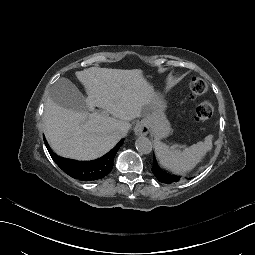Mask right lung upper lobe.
Returning <instances> with one entry per match:
<instances>
[{
  "label": "right lung upper lobe",
  "mask_w": 255,
  "mask_h": 255,
  "mask_svg": "<svg viewBox=\"0 0 255 255\" xmlns=\"http://www.w3.org/2000/svg\"><path fill=\"white\" fill-rule=\"evenodd\" d=\"M123 140H121L110 152L103 157L89 162H79L71 159L62 158L56 155L46 143L49 154L53 161L66 174L81 181H93L105 177L112 171L114 157L121 147ZM86 165H91L94 168V173L90 178H87L83 173V168Z\"/></svg>",
  "instance_id": "cb5924a9"
}]
</instances>
